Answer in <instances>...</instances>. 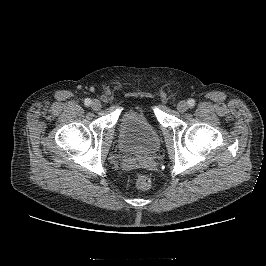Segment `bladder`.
Instances as JSON below:
<instances>
[{
    "label": "bladder",
    "instance_id": "31cf9c89",
    "mask_svg": "<svg viewBox=\"0 0 266 266\" xmlns=\"http://www.w3.org/2000/svg\"><path fill=\"white\" fill-rule=\"evenodd\" d=\"M119 144L125 153L147 156L155 153L160 145L157 129L140 110L129 109L119 118Z\"/></svg>",
    "mask_w": 266,
    "mask_h": 266
}]
</instances>
